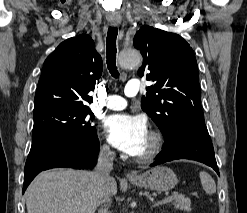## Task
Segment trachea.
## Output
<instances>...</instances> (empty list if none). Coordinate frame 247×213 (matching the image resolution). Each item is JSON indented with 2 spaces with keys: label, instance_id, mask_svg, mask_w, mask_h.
I'll use <instances>...</instances> for the list:
<instances>
[{
  "label": "trachea",
  "instance_id": "1",
  "mask_svg": "<svg viewBox=\"0 0 247 213\" xmlns=\"http://www.w3.org/2000/svg\"><path fill=\"white\" fill-rule=\"evenodd\" d=\"M118 30L117 28L110 27L108 29V34L106 38V54H107V66L109 72L114 78L119 77V72L116 67V38H117Z\"/></svg>",
  "mask_w": 247,
  "mask_h": 213
}]
</instances>
